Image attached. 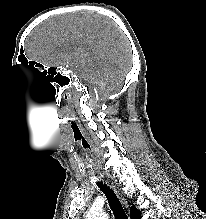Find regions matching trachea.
Returning <instances> with one entry per match:
<instances>
[{"label": "trachea", "mask_w": 206, "mask_h": 219, "mask_svg": "<svg viewBox=\"0 0 206 219\" xmlns=\"http://www.w3.org/2000/svg\"><path fill=\"white\" fill-rule=\"evenodd\" d=\"M97 186L106 196L115 219H128L125 210L115 192L102 182H97Z\"/></svg>", "instance_id": "1"}]
</instances>
